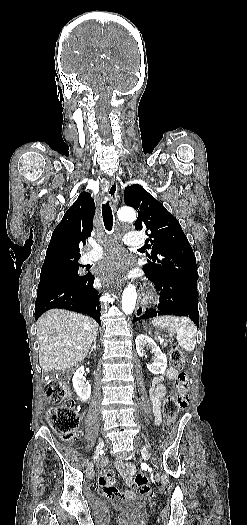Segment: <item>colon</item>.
I'll list each match as a JSON object with an SVG mask.
<instances>
[{
	"instance_id": "5ec220e1",
	"label": "colon",
	"mask_w": 247,
	"mask_h": 525,
	"mask_svg": "<svg viewBox=\"0 0 247 525\" xmlns=\"http://www.w3.org/2000/svg\"><path fill=\"white\" fill-rule=\"evenodd\" d=\"M170 359L175 368H181L184 365L183 353L173 343L171 344ZM175 383L180 391L168 394L163 405V416L169 424L174 422L177 414L186 408L188 403L186 389L189 385V376L186 373H180ZM45 392L53 401L63 402V405L52 406L47 410L46 419L49 425L64 440L73 439L79 426V413L69 388L63 382L51 381L47 384ZM134 481L140 494L148 496L151 493V485L146 474L137 472Z\"/></svg>"
}]
</instances>
